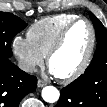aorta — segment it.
Segmentation results:
<instances>
[{
	"instance_id": "1",
	"label": "aorta",
	"mask_w": 107,
	"mask_h": 107,
	"mask_svg": "<svg viewBox=\"0 0 107 107\" xmlns=\"http://www.w3.org/2000/svg\"><path fill=\"white\" fill-rule=\"evenodd\" d=\"M59 91L54 86H46L42 89V98L48 103H54L59 99Z\"/></svg>"
}]
</instances>
